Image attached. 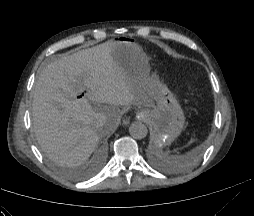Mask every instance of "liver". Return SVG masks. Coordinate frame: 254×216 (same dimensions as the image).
<instances>
[{
  "label": "liver",
  "mask_w": 254,
  "mask_h": 216,
  "mask_svg": "<svg viewBox=\"0 0 254 216\" xmlns=\"http://www.w3.org/2000/svg\"><path fill=\"white\" fill-rule=\"evenodd\" d=\"M115 46L116 41H108L65 55L38 77L34 132L43 151L59 165L84 164L100 138L119 125L121 106L154 104L147 88L150 78L129 77L116 59Z\"/></svg>",
  "instance_id": "1"
}]
</instances>
